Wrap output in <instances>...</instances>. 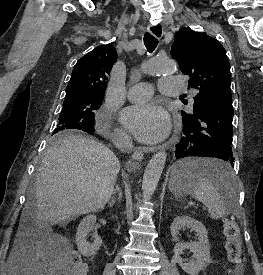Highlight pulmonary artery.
<instances>
[{
  "label": "pulmonary artery",
  "instance_id": "e3ab8cb5",
  "mask_svg": "<svg viewBox=\"0 0 263 275\" xmlns=\"http://www.w3.org/2000/svg\"><path fill=\"white\" fill-rule=\"evenodd\" d=\"M185 84L178 77H165L159 82V91L163 95L177 96L183 93ZM154 90L150 83L141 82L132 86L128 91V99L133 102L146 101L153 95ZM194 95V93H192Z\"/></svg>",
  "mask_w": 263,
  "mask_h": 275
}]
</instances>
